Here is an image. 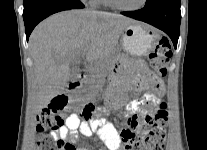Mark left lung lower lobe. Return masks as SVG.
Here are the masks:
<instances>
[{
	"instance_id": "obj_1",
	"label": "left lung lower lobe",
	"mask_w": 207,
	"mask_h": 150,
	"mask_svg": "<svg viewBox=\"0 0 207 150\" xmlns=\"http://www.w3.org/2000/svg\"><path fill=\"white\" fill-rule=\"evenodd\" d=\"M122 14L163 30L177 47L181 22L180 0H157L141 10Z\"/></svg>"
}]
</instances>
